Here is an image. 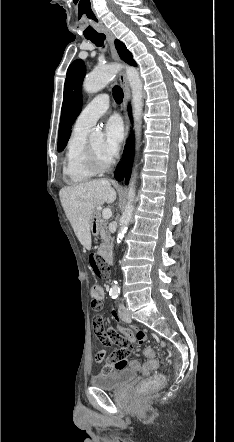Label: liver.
<instances>
[{
  "label": "liver",
  "instance_id": "1",
  "mask_svg": "<svg viewBox=\"0 0 234 442\" xmlns=\"http://www.w3.org/2000/svg\"><path fill=\"white\" fill-rule=\"evenodd\" d=\"M66 217L83 247L91 249L90 220L95 208L116 200V191L109 180H93L68 187L59 192Z\"/></svg>",
  "mask_w": 234,
  "mask_h": 442
}]
</instances>
